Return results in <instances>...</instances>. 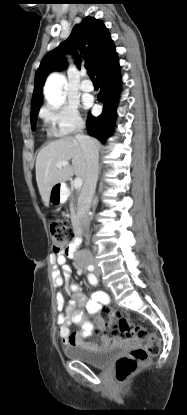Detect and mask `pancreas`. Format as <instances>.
Returning a JSON list of instances; mask_svg holds the SVG:
<instances>
[{"instance_id": "1", "label": "pancreas", "mask_w": 187, "mask_h": 415, "mask_svg": "<svg viewBox=\"0 0 187 415\" xmlns=\"http://www.w3.org/2000/svg\"><path fill=\"white\" fill-rule=\"evenodd\" d=\"M70 212H71V221L73 226H77L78 225V216L76 214V209L74 207L73 202L71 201L70 203Z\"/></svg>"}]
</instances>
